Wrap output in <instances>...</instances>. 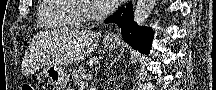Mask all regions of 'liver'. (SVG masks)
<instances>
[{"label": "liver", "instance_id": "1", "mask_svg": "<svg viewBox=\"0 0 216 90\" xmlns=\"http://www.w3.org/2000/svg\"><path fill=\"white\" fill-rule=\"evenodd\" d=\"M67 64L83 60L90 52H94L99 44V36L90 30H67L65 34Z\"/></svg>", "mask_w": 216, "mask_h": 90}]
</instances>
